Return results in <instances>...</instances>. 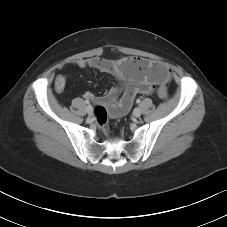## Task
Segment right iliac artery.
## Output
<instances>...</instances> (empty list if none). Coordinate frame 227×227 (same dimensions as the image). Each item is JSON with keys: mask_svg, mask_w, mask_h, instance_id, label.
<instances>
[{"mask_svg": "<svg viewBox=\"0 0 227 227\" xmlns=\"http://www.w3.org/2000/svg\"><path fill=\"white\" fill-rule=\"evenodd\" d=\"M85 103L88 104V106H91V105H89V100H85Z\"/></svg>", "mask_w": 227, "mask_h": 227, "instance_id": "82829eb1", "label": "right iliac artery"}]
</instances>
